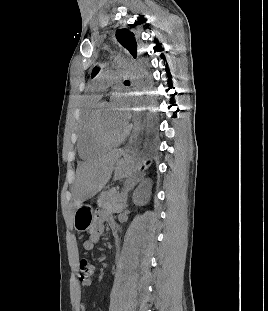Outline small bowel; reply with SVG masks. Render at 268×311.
I'll return each instance as SVG.
<instances>
[{"label":"small bowel","mask_w":268,"mask_h":311,"mask_svg":"<svg viewBox=\"0 0 268 311\" xmlns=\"http://www.w3.org/2000/svg\"><path fill=\"white\" fill-rule=\"evenodd\" d=\"M106 225H109L115 234H119L120 229L117 223L107 213H100L99 215H97L96 222L93 226V229L91 231L89 238L83 242V248L86 251H91L94 249L95 244L99 241L101 235L104 232ZM90 285H91L90 278H85V279L80 280V286L82 288H87ZM79 308H80V311H85V306L82 302L80 303Z\"/></svg>","instance_id":"obj_1"}]
</instances>
